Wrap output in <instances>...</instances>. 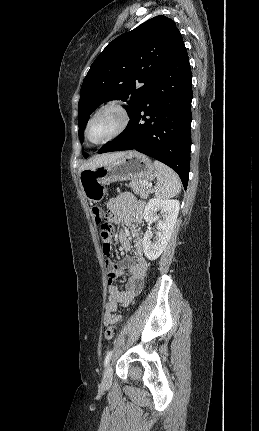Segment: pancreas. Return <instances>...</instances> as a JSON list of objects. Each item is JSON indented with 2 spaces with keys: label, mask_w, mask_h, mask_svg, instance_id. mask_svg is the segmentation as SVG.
<instances>
[{
  "label": "pancreas",
  "mask_w": 259,
  "mask_h": 431,
  "mask_svg": "<svg viewBox=\"0 0 259 431\" xmlns=\"http://www.w3.org/2000/svg\"><path fill=\"white\" fill-rule=\"evenodd\" d=\"M144 181L142 180H133L130 183V187L133 189V192L137 195H139L141 198L143 199H147L149 193H150V188H149V184H144Z\"/></svg>",
  "instance_id": "cf45deb5"
}]
</instances>
